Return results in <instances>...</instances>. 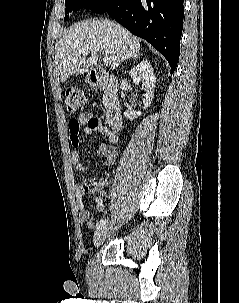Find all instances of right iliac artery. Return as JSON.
Here are the masks:
<instances>
[{
    "label": "right iliac artery",
    "instance_id": "obj_1",
    "mask_svg": "<svg viewBox=\"0 0 239 303\" xmlns=\"http://www.w3.org/2000/svg\"><path fill=\"white\" fill-rule=\"evenodd\" d=\"M108 222V219H102L96 223V229H101L106 223Z\"/></svg>",
    "mask_w": 239,
    "mask_h": 303
}]
</instances>
